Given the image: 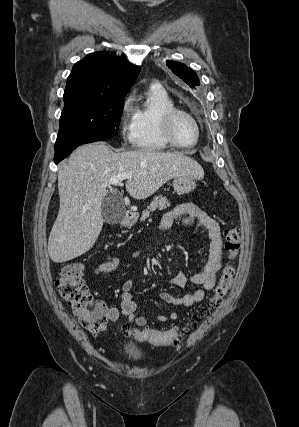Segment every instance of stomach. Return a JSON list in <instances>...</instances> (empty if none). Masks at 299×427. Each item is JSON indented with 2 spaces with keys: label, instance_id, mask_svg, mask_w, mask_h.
Here are the masks:
<instances>
[{
  "label": "stomach",
  "instance_id": "stomach-1",
  "mask_svg": "<svg viewBox=\"0 0 299 427\" xmlns=\"http://www.w3.org/2000/svg\"><path fill=\"white\" fill-rule=\"evenodd\" d=\"M196 179L189 175L174 177L173 188L179 195L189 194L196 188Z\"/></svg>",
  "mask_w": 299,
  "mask_h": 427
}]
</instances>
